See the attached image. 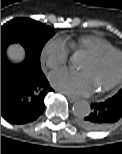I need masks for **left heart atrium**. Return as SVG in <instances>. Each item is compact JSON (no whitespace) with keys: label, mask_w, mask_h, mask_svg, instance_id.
I'll return each mask as SVG.
<instances>
[{"label":"left heart atrium","mask_w":122,"mask_h":154,"mask_svg":"<svg viewBox=\"0 0 122 154\" xmlns=\"http://www.w3.org/2000/svg\"><path fill=\"white\" fill-rule=\"evenodd\" d=\"M50 81L58 90L73 96H89L94 91L86 72L60 69L50 74Z\"/></svg>","instance_id":"obj_1"}]
</instances>
